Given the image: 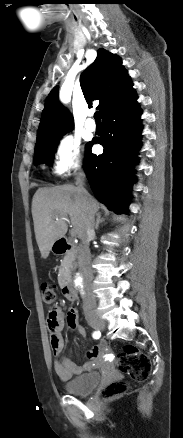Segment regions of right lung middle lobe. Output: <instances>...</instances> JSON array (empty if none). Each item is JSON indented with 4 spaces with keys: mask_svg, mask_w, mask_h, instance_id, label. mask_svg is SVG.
<instances>
[{
    "mask_svg": "<svg viewBox=\"0 0 183 438\" xmlns=\"http://www.w3.org/2000/svg\"><path fill=\"white\" fill-rule=\"evenodd\" d=\"M70 131V130H69ZM65 131V132H69ZM65 132L55 133L48 136L37 138L35 145L34 163L51 164L53 155L57 148L60 138Z\"/></svg>",
    "mask_w": 183,
    "mask_h": 438,
    "instance_id": "obj_1",
    "label": "right lung middle lobe"
}]
</instances>
